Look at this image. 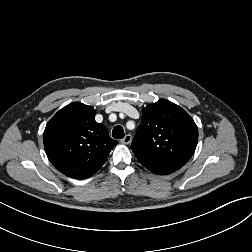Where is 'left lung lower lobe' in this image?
<instances>
[{
    "label": "left lung lower lobe",
    "mask_w": 252,
    "mask_h": 252,
    "mask_svg": "<svg viewBox=\"0 0 252 252\" xmlns=\"http://www.w3.org/2000/svg\"><path fill=\"white\" fill-rule=\"evenodd\" d=\"M139 162L148 170L155 174H170L180 169L186 161L179 159H154L139 160Z\"/></svg>",
    "instance_id": "obj_1"
}]
</instances>
